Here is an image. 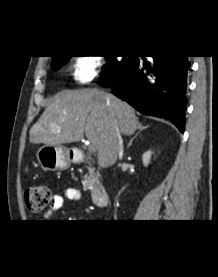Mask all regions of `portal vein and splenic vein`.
<instances>
[{
  "mask_svg": "<svg viewBox=\"0 0 218 277\" xmlns=\"http://www.w3.org/2000/svg\"><path fill=\"white\" fill-rule=\"evenodd\" d=\"M89 146H88V150L89 152H94L96 150L95 146L90 144V143H87Z\"/></svg>",
  "mask_w": 218,
  "mask_h": 277,
  "instance_id": "1",
  "label": "portal vein and splenic vein"
}]
</instances>
